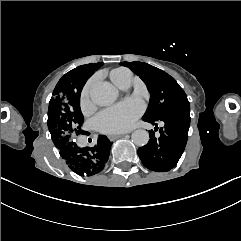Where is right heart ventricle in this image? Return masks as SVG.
I'll list each match as a JSON object with an SVG mask.
<instances>
[{"label":"right heart ventricle","instance_id":"1","mask_svg":"<svg viewBox=\"0 0 241 241\" xmlns=\"http://www.w3.org/2000/svg\"><path fill=\"white\" fill-rule=\"evenodd\" d=\"M132 75L130 71L124 68H118L112 71L111 79L120 88H126L131 82Z\"/></svg>","mask_w":241,"mask_h":241}]
</instances>
